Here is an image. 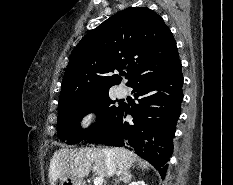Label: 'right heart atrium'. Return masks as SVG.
<instances>
[{"mask_svg":"<svg viewBox=\"0 0 233 185\" xmlns=\"http://www.w3.org/2000/svg\"><path fill=\"white\" fill-rule=\"evenodd\" d=\"M96 113L95 107L86 108L78 118L77 127L82 131H88L95 122Z\"/></svg>","mask_w":233,"mask_h":185,"instance_id":"right-heart-atrium-1","label":"right heart atrium"}]
</instances>
